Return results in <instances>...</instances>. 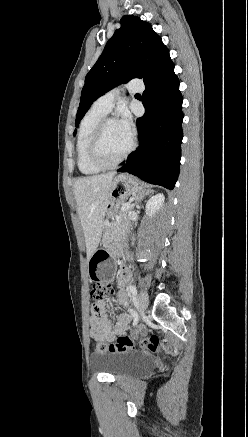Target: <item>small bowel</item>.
Listing matches in <instances>:
<instances>
[{
	"label": "small bowel",
	"mask_w": 248,
	"mask_h": 437,
	"mask_svg": "<svg viewBox=\"0 0 248 437\" xmlns=\"http://www.w3.org/2000/svg\"><path fill=\"white\" fill-rule=\"evenodd\" d=\"M129 279V272L122 269L119 272L117 292V302L123 307H128V298L123 291L124 285ZM131 320L129 313H122L117 317L115 326L110 322L106 311L105 303H96L92 307V315L90 317L89 335L92 339L99 342H112L117 335H122L126 332L127 326Z\"/></svg>",
	"instance_id": "small-bowel-1"
}]
</instances>
